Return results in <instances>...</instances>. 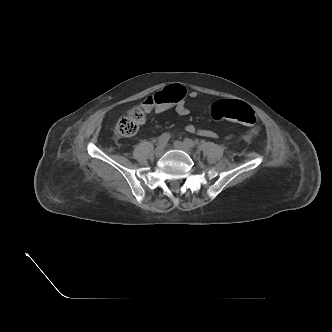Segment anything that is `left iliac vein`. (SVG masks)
<instances>
[{
    "label": "left iliac vein",
    "mask_w": 332,
    "mask_h": 332,
    "mask_svg": "<svg viewBox=\"0 0 332 332\" xmlns=\"http://www.w3.org/2000/svg\"><path fill=\"white\" fill-rule=\"evenodd\" d=\"M174 147L178 150H182L186 153H191L192 152V147H190L189 145H187L185 142H181V141H175L174 142Z\"/></svg>",
    "instance_id": "4c4485c4"
}]
</instances>
